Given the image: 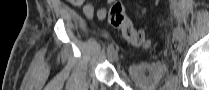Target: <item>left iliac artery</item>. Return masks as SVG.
I'll use <instances>...</instances> for the list:
<instances>
[{
	"label": "left iliac artery",
	"instance_id": "obj_1",
	"mask_svg": "<svg viewBox=\"0 0 209 90\" xmlns=\"http://www.w3.org/2000/svg\"><path fill=\"white\" fill-rule=\"evenodd\" d=\"M170 2H171L173 14L178 19V22L180 23L179 26L182 27V23H183V15L181 14L182 9L179 3L177 2V0H171Z\"/></svg>",
	"mask_w": 209,
	"mask_h": 90
}]
</instances>
